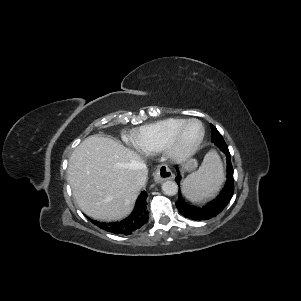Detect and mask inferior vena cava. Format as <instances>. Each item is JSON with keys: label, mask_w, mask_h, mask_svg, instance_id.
Segmentation results:
<instances>
[{"label": "inferior vena cava", "mask_w": 301, "mask_h": 301, "mask_svg": "<svg viewBox=\"0 0 301 301\" xmlns=\"http://www.w3.org/2000/svg\"><path fill=\"white\" fill-rule=\"evenodd\" d=\"M140 169V172L134 177V184L139 187L145 183L148 173L147 166L145 164H141Z\"/></svg>", "instance_id": "obj_1"}]
</instances>
